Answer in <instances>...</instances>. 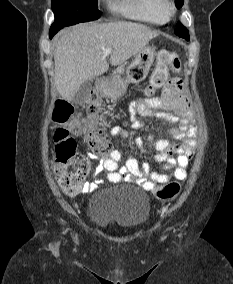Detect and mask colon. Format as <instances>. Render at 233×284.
<instances>
[{
    "mask_svg": "<svg viewBox=\"0 0 233 284\" xmlns=\"http://www.w3.org/2000/svg\"><path fill=\"white\" fill-rule=\"evenodd\" d=\"M169 70L178 72L180 60L176 53L169 50H160L157 55V66L146 88L147 95H153L167 81ZM102 102L93 99L88 106L90 119L85 141L95 153L108 154L111 145L106 140L103 127L97 122L96 114ZM75 108L64 100H57L54 105L53 119L59 123H66L74 114ZM54 142V174L60 188L68 194L78 192L84 185L90 164L85 159L76 157V142L74 137L65 128H58L53 134ZM181 191V185L177 182H169L153 189L155 197L161 200L175 198Z\"/></svg>",
    "mask_w": 233,
    "mask_h": 284,
    "instance_id": "1",
    "label": "colon"
}]
</instances>
